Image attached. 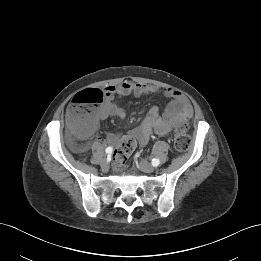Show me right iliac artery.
Wrapping results in <instances>:
<instances>
[{
    "label": "right iliac artery",
    "instance_id": "obj_1",
    "mask_svg": "<svg viewBox=\"0 0 261 261\" xmlns=\"http://www.w3.org/2000/svg\"><path fill=\"white\" fill-rule=\"evenodd\" d=\"M112 151H113L112 147H107L105 150L106 154H108V155H110L112 153Z\"/></svg>",
    "mask_w": 261,
    "mask_h": 261
}]
</instances>
